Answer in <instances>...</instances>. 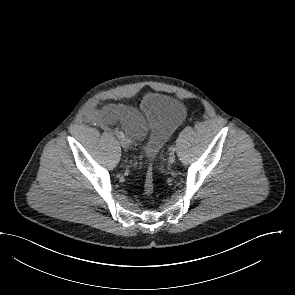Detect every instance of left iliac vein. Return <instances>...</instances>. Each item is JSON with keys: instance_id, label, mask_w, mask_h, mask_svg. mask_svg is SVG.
Instances as JSON below:
<instances>
[{"instance_id": "1", "label": "left iliac vein", "mask_w": 295, "mask_h": 295, "mask_svg": "<svg viewBox=\"0 0 295 295\" xmlns=\"http://www.w3.org/2000/svg\"><path fill=\"white\" fill-rule=\"evenodd\" d=\"M175 159H176L175 153L174 152H171L169 154V158H168L169 164H173L175 162Z\"/></svg>"}]
</instances>
